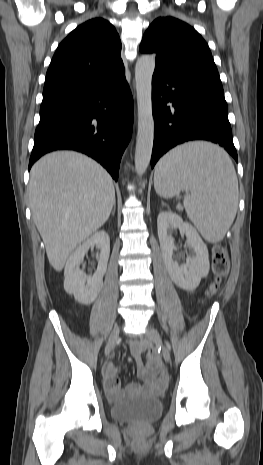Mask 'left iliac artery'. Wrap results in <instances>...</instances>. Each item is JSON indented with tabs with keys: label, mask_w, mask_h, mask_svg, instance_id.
I'll use <instances>...</instances> for the list:
<instances>
[{
	"label": "left iliac artery",
	"mask_w": 263,
	"mask_h": 465,
	"mask_svg": "<svg viewBox=\"0 0 263 465\" xmlns=\"http://www.w3.org/2000/svg\"><path fill=\"white\" fill-rule=\"evenodd\" d=\"M166 345H167L168 349L170 350V349H171V346H170V344H169L168 341H166Z\"/></svg>",
	"instance_id": "44dca946"
}]
</instances>
